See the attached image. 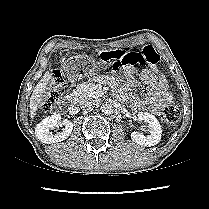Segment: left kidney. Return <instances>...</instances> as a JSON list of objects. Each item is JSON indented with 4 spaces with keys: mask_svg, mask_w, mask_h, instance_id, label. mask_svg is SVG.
Segmentation results:
<instances>
[{
    "mask_svg": "<svg viewBox=\"0 0 209 209\" xmlns=\"http://www.w3.org/2000/svg\"><path fill=\"white\" fill-rule=\"evenodd\" d=\"M138 120L148 124L149 135L144 136L142 133L134 131L131 133V139L139 145L148 147L158 144L161 139L162 129L157 118L150 113L140 112L138 114Z\"/></svg>",
    "mask_w": 209,
    "mask_h": 209,
    "instance_id": "left-kidney-1",
    "label": "left kidney"
}]
</instances>
